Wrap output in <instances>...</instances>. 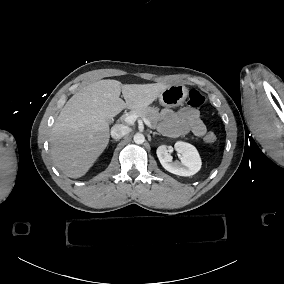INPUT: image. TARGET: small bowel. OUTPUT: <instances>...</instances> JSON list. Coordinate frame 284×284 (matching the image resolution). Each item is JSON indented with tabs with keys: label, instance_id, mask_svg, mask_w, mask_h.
I'll list each match as a JSON object with an SVG mask.
<instances>
[{
	"label": "small bowel",
	"instance_id": "c3829d8e",
	"mask_svg": "<svg viewBox=\"0 0 284 284\" xmlns=\"http://www.w3.org/2000/svg\"><path fill=\"white\" fill-rule=\"evenodd\" d=\"M162 118V132L169 137H178L187 133L201 137L206 133V127L200 112L184 107L179 110L164 108L160 112Z\"/></svg>",
	"mask_w": 284,
	"mask_h": 284
}]
</instances>
